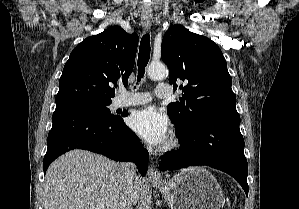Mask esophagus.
<instances>
[{
    "mask_svg": "<svg viewBox=\"0 0 299 209\" xmlns=\"http://www.w3.org/2000/svg\"><path fill=\"white\" fill-rule=\"evenodd\" d=\"M141 24H142V27L145 30H149L151 28V25H152V18L148 17V16H143L141 18ZM147 177H148L149 180H160V175L155 170L153 165L149 166L148 172H147Z\"/></svg>",
    "mask_w": 299,
    "mask_h": 209,
    "instance_id": "obj_1",
    "label": "esophagus"
}]
</instances>
